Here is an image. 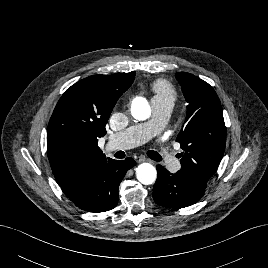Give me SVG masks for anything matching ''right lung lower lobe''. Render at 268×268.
Here are the masks:
<instances>
[{
	"mask_svg": "<svg viewBox=\"0 0 268 268\" xmlns=\"http://www.w3.org/2000/svg\"><path fill=\"white\" fill-rule=\"evenodd\" d=\"M136 162L128 157L125 160L110 159L94 171L85 190L72 202L88 212H105L118 203V188L126 172Z\"/></svg>",
	"mask_w": 268,
	"mask_h": 268,
	"instance_id": "right-lung-lower-lobe-1",
	"label": "right lung lower lobe"
}]
</instances>
